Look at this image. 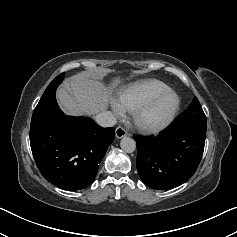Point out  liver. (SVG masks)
Here are the masks:
<instances>
[{
    "label": "liver",
    "instance_id": "obj_1",
    "mask_svg": "<svg viewBox=\"0 0 237 237\" xmlns=\"http://www.w3.org/2000/svg\"><path fill=\"white\" fill-rule=\"evenodd\" d=\"M120 82L116 78L110 87L85 73L72 76L64 87L57 90L61 109L69 115H95L106 110L113 89Z\"/></svg>",
    "mask_w": 237,
    "mask_h": 237
}]
</instances>
